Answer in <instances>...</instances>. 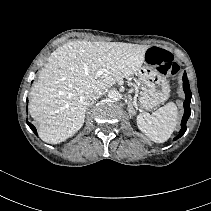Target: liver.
<instances>
[{"mask_svg":"<svg viewBox=\"0 0 211 211\" xmlns=\"http://www.w3.org/2000/svg\"><path fill=\"white\" fill-rule=\"evenodd\" d=\"M148 45L75 40L57 48L30 92L29 113L39 137L58 144L84 124L92 95L136 74ZM103 70L99 77L97 72Z\"/></svg>","mask_w":211,"mask_h":211,"instance_id":"obj_1","label":"liver"}]
</instances>
